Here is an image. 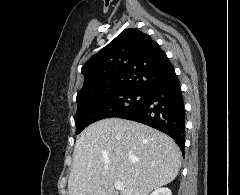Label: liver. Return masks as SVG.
I'll return each instance as SVG.
<instances>
[{
  "label": "liver",
  "instance_id": "1",
  "mask_svg": "<svg viewBox=\"0 0 240 195\" xmlns=\"http://www.w3.org/2000/svg\"><path fill=\"white\" fill-rule=\"evenodd\" d=\"M182 153L172 137L130 119L107 117L77 135L69 195H148L175 179ZM115 181L124 189L115 191Z\"/></svg>",
  "mask_w": 240,
  "mask_h": 195
}]
</instances>
